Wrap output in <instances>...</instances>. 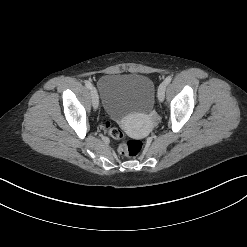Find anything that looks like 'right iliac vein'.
Masks as SVG:
<instances>
[{"label":"right iliac vein","mask_w":247,"mask_h":247,"mask_svg":"<svg viewBox=\"0 0 247 247\" xmlns=\"http://www.w3.org/2000/svg\"><path fill=\"white\" fill-rule=\"evenodd\" d=\"M91 96H92L93 108L97 109L99 106V97H98L97 91L94 87H92V89H91Z\"/></svg>","instance_id":"obj_1"}]
</instances>
